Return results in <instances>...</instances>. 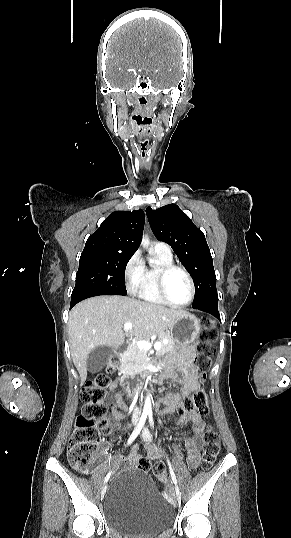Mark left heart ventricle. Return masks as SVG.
Masks as SVG:
<instances>
[{
	"label": "left heart ventricle",
	"instance_id": "left-heart-ventricle-1",
	"mask_svg": "<svg viewBox=\"0 0 291 538\" xmlns=\"http://www.w3.org/2000/svg\"><path fill=\"white\" fill-rule=\"evenodd\" d=\"M166 289L169 298L176 303L185 302L190 294L188 280L180 271H174L168 276Z\"/></svg>",
	"mask_w": 291,
	"mask_h": 538
}]
</instances>
